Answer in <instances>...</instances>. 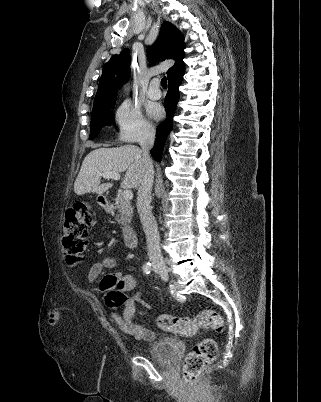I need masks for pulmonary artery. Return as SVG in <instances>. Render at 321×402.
<instances>
[{
	"label": "pulmonary artery",
	"mask_w": 321,
	"mask_h": 402,
	"mask_svg": "<svg viewBox=\"0 0 321 402\" xmlns=\"http://www.w3.org/2000/svg\"><path fill=\"white\" fill-rule=\"evenodd\" d=\"M146 94H147V97L152 100L160 99L161 91L159 89V80L158 79L155 78L150 82Z\"/></svg>",
	"instance_id": "obj_1"
}]
</instances>
